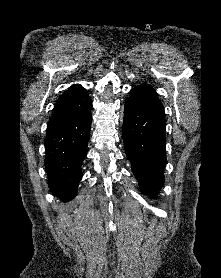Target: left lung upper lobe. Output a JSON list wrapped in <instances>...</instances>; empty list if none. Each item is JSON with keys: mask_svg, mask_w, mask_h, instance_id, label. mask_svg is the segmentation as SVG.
<instances>
[{"mask_svg": "<svg viewBox=\"0 0 221 278\" xmlns=\"http://www.w3.org/2000/svg\"><path fill=\"white\" fill-rule=\"evenodd\" d=\"M127 100L134 102L137 105H162L161 101L157 97L155 90L147 84H141L132 89Z\"/></svg>", "mask_w": 221, "mask_h": 278, "instance_id": "obj_1", "label": "left lung upper lobe"}]
</instances>
